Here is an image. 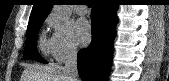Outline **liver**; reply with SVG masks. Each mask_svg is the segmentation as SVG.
Returning <instances> with one entry per match:
<instances>
[{
	"mask_svg": "<svg viewBox=\"0 0 169 81\" xmlns=\"http://www.w3.org/2000/svg\"><path fill=\"white\" fill-rule=\"evenodd\" d=\"M21 81H70L64 71V67L30 66L24 70Z\"/></svg>",
	"mask_w": 169,
	"mask_h": 81,
	"instance_id": "obj_1",
	"label": "liver"
}]
</instances>
